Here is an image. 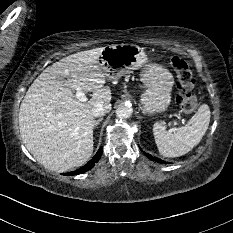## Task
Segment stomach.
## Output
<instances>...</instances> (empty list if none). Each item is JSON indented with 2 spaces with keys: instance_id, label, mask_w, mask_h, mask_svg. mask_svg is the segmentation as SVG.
<instances>
[{
  "instance_id": "obj_1",
  "label": "stomach",
  "mask_w": 233,
  "mask_h": 233,
  "mask_svg": "<svg viewBox=\"0 0 233 233\" xmlns=\"http://www.w3.org/2000/svg\"><path fill=\"white\" fill-rule=\"evenodd\" d=\"M102 71L108 78H117L142 67L141 82L146 91L141 96L144 111L163 112L171 101L174 78L165 67L149 61L144 48L135 44H116L104 47L99 58Z\"/></svg>"
}]
</instances>
